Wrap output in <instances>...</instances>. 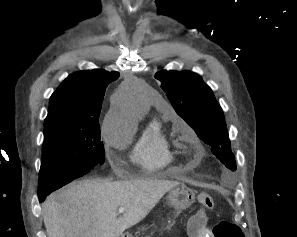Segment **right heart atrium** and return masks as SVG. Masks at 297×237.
Instances as JSON below:
<instances>
[{"mask_svg":"<svg viewBox=\"0 0 297 237\" xmlns=\"http://www.w3.org/2000/svg\"><path fill=\"white\" fill-rule=\"evenodd\" d=\"M116 126L117 120L115 116L112 114L107 115L102 124V134L105 141L110 145L114 144L118 139Z\"/></svg>","mask_w":297,"mask_h":237,"instance_id":"obj_1","label":"right heart atrium"}]
</instances>
